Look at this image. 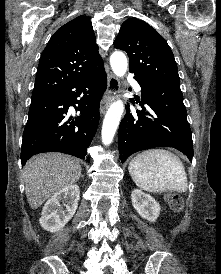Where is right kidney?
Wrapping results in <instances>:
<instances>
[{"label": "right kidney", "mask_w": 221, "mask_h": 274, "mask_svg": "<svg viewBox=\"0 0 221 274\" xmlns=\"http://www.w3.org/2000/svg\"><path fill=\"white\" fill-rule=\"evenodd\" d=\"M79 197L78 185H70L55 193L43 207L40 225L51 233L62 229L75 214Z\"/></svg>", "instance_id": "right-kidney-1"}]
</instances>
